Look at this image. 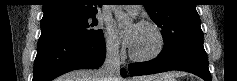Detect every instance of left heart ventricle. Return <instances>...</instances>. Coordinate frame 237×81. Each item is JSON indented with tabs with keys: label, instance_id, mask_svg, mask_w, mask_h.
I'll return each instance as SVG.
<instances>
[{
	"label": "left heart ventricle",
	"instance_id": "left-heart-ventricle-1",
	"mask_svg": "<svg viewBox=\"0 0 237 81\" xmlns=\"http://www.w3.org/2000/svg\"><path fill=\"white\" fill-rule=\"evenodd\" d=\"M157 45V39L152 29L138 26L135 42L131 50L137 55L151 52Z\"/></svg>",
	"mask_w": 237,
	"mask_h": 81
}]
</instances>
